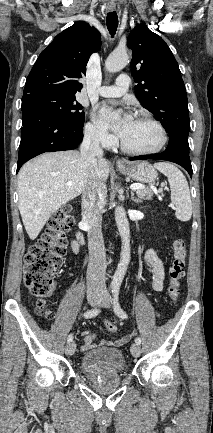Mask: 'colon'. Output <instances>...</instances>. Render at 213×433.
I'll use <instances>...</instances> for the list:
<instances>
[{"label":"colon","mask_w":213,"mask_h":433,"mask_svg":"<svg viewBox=\"0 0 213 433\" xmlns=\"http://www.w3.org/2000/svg\"><path fill=\"white\" fill-rule=\"evenodd\" d=\"M73 208L67 204L61 207L51 218L45 232L29 247L24 259V282L30 294L38 299L36 313L46 319L53 317L46 299L56 287L55 276L66 254V232L73 224ZM186 243L183 238L173 242L172 257L169 266L168 296L177 301L181 292V281L185 275ZM110 333L117 331L112 321L105 322Z\"/></svg>","instance_id":"colon-1"}]
</instances>
